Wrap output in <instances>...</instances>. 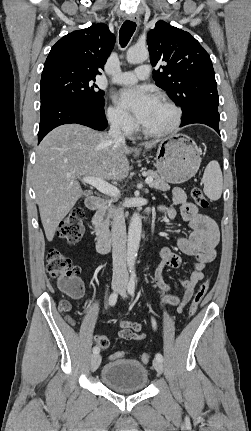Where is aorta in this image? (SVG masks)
<instances>
[{
  "label": "aorta",
  "instance_id": "obj_1",
  "mask_svg": "<svg viewBox=\"0 0 251 431\" xmlns=\"http://www.w3.org/2000/svg\"><path fill=\"white\" fill-rule=\"evenodd\" d=\"M149 57L148 49L145 47H131L128 49L126 59L129 63H142ZM142 232V221L139 213L135 212L130 220L127 239V265L134 268Z\"/></svg>",
  "mask_w": 251,
  "mask_h": 431
}]
</instances>
